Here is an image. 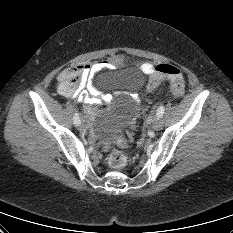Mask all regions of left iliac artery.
<instances>
[{
    "label": "left iliac artery",
    "mask_w": 233,
    "mask_h": 233,
    "mask_svg": "<svg viewBox=\"0 0 233 233\" xmlns=\"http://www.w3.org/2000/svg\"><path fill=\"white\" fill-rule=\"evenodd\" d=\"M164 106L163 105H161L158 109H157V113H156V115H157V117H162L163 116V114H164Z\"/></svg>",
    "instance_id": "44dca946"
}]
</instances>
